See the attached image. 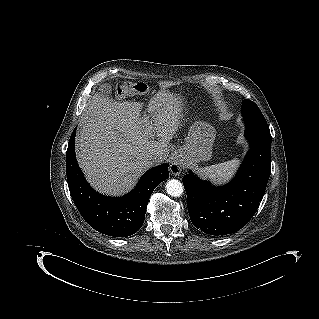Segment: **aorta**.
I'll list each match as a JSON object with an SVG mask.
<instances>
[{
    "label": "aorta",
    "mask_w": 319,
    "mask_h": 319,
    "mask_svg": "<svg viewBox=\"0 0 319 319\" xmlns=\"http://www.w3.org/2000/svg\"><path fill=\"white\" fill-rule=\"evenodd\" d=\"M184 187L182 183L176 179H171L166 184V192L173 197H179L183 194Z\"/></svg>",
    "instance_id": "1"
}]
</instances>
